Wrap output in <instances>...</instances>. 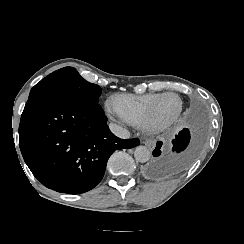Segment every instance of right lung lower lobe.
Instances as JSON below:
<instances>
[{
    "mask_svg": "<svg viewBox=\"0 0 244 244\" xmlns=\"http://www.w3.org/2000/svg\"><path fill=\"white\" fill-rule=\"evenodd\" d=\"M101 106L61 96L29 97L19 125V146L33 175L46 187L69 194L94 188L110 155L133 148L108 128Z\"/></svg>",
    "mask_w": 244,
    "mask_h": 244,
    "instance_id": "right-lung-lower-lobe-1",
    "label": "right lung lower lobe"
}]
</instances>
